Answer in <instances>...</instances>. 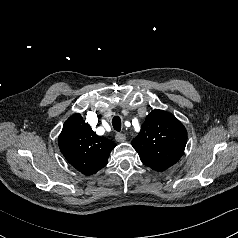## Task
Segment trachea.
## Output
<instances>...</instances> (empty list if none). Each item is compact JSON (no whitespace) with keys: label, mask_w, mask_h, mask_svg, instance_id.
Here are the masks:
<instances>
[{"label":"trachea","mask_w":238,"mask_h":238,"mask_svg":"<svg viewBox=\"0 0 238 238\" xmlns=\"http://www.w3.org/2000/svg\"><path fill=\"white\" fill-rule=\"evenodd\" d=\"M112 125H113V128H114L116 131L120 132V130H121V119H120V117L115 116V117L112 119Z\"/></svg>","instance_id":"obj_1"}]
</instances>
